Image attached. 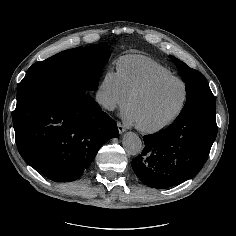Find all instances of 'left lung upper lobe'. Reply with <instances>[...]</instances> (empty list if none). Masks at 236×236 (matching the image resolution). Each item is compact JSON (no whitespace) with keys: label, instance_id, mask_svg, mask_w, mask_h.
I'll list each match as a JSON object with an SVG mask.
<instances>
[{"label":"left lung upper lobe","instance_id":"left-lung-upper-lobe-1","mask_svg":"<svg viewBox=\"0 0 236 236\" xmlns=\"http://www.w3.org/2000/svg\"><path fill=\"white\" fill-rule=\"evenodd\" d=\"M170 58L186 84V103L179 115L197 110L216 112L215 98L204 76L199 71L190 69L176 57Z\"/></svg>","mask_w":236,"mask_h":236}]
</instances>
